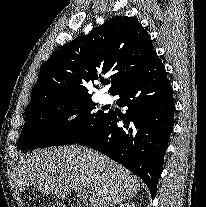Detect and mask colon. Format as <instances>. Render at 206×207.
<instances>
[{
  "label": "colon",
  "instance_id": "colon-1",
  "mask_svg": "<svg viewBox=\"0 0 206 207\" xmlns=\"http://www.w3.org/2000/svg\"><path fill=\"white\" fill-rule=\"evenodd\" d=\"M64 207H81V206L75 202L74 204H70V205L66 204V206Z\"/></svg>",
  "mask_w": 206,
  "mask_h": 207
}]
</instances>
